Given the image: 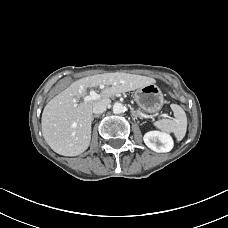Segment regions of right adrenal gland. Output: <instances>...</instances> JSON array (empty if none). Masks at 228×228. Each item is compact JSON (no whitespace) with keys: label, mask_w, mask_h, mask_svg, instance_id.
Segmentation results:
<instances>
[{"label":"right adrenal gland","mask_w":228,"mask_h":228,"mask_svg":"<svg viewBox=\"0 0 228 228\" xmlns=\"http://www.w3.org/2000/svg\"><path fill=\"white\" fill-rule=\"evenodd\" d=\"M100 115L98 114V115H94L93 117H92V121L94 120V118H98Z\"/></svg>","instance_id":"obj_1"}]
</instances>
